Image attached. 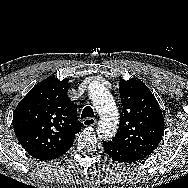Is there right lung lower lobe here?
<instances>
[{
  "instance_id": "right-lung-lower-lobe-1",
  "label": "right lung lower lobe",
  "mask_w": 188,
  "mask_h": 188,
  "mask_svg": "<svg viewBox=\"0 0 188 188\" xmlns=\"http://www.w3.org/2000/svg\"><path fill=\"white\" fill-rule=\"evenodd\" d=\"M67 151H68V149L65 150V151H61V152H58V153H56V154H53V155H51V156L45 157V158H43L42 160L58 158V157H60L61 155H63L64 153H66Z\"/></svg>"
}]
</instances>
